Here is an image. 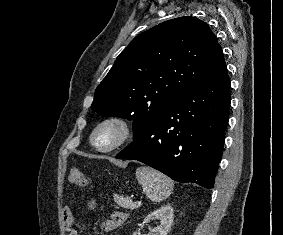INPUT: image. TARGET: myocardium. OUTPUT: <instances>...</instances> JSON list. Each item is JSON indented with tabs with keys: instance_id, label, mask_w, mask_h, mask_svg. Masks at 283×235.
<instances>
[{
	"instance_id": "obj_1",
	"label": "myocardium",
	"mask_w": 283,
	"mask_h": 235,
	"mask_svg": "<svg viewBox=\"0 0 283 235\" xmlns=\"http://www.w3.org/2000/svg\"><path fill=\"white\" fill-rule=\"evenodd\" d=\"M108 127L116 129V137L110 143L102 145L98 142V137ZM133 134V125L127 118L120 115H111L103 118L95 125L90 134V142L97 151L107 153L124 146L131 140Z\"/></svg>"
}]
</instances>
